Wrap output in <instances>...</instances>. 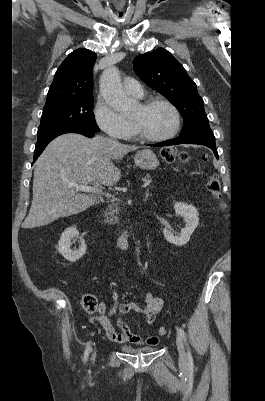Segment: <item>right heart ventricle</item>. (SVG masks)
<instances>
[{
    "mask_svg": "<svg viewBox=\"0 0 265 401\" xmlns=\"http://www.w3.org/2000/svg\"><path fill=\"white\" fill-rule=\"evenodd\" d=\"M135 134V130H133L132 134L128 137H122V138H118V139H123V140H127L129 139L131 136H133Z\"/></svg>",
    "mask_w": 265,
    "mask_h": 401,
    "instance_id": "1",
    "label": "right heart ventricle"
}]
</instances>
